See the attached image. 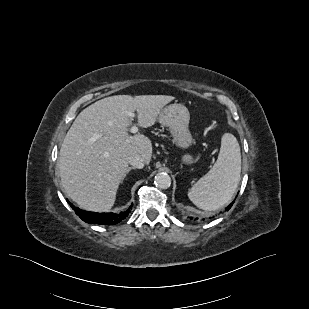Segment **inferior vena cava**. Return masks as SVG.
Segmentation results:
<instances>
[{
  "mask_svg": "<svg viewBox=\"0 0 309 309\" xmlns=\"http://www.w3.org/2000/svg\"><path fill=\"white\" fill-rule=\"evenodd\" d=\"M129 164L134 168L141 169L144 167L145 161L140 155L136 154L129 158Z\"/></svg>",
  "mask_w": 309,
  "mask_h": 309,
  "instance_id": "1",
  "label": "inferior vena cava"
}]
</instances>
